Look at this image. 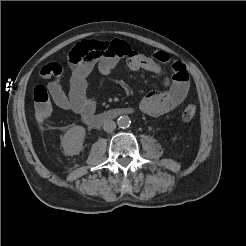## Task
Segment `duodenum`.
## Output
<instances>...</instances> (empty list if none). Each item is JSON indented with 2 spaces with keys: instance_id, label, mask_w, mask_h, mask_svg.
I'll list each match as a JSON object with an SVG mask.
<instances>
[{
  "instance_id": "duodenum-1",
  "label": "duodenum",
  "mask_w": 246,
  "mask_h": 246,
  "mask_svg": "<svg viewBox=\"0 0 246 246\" xmlns=\"http://www.w3.org/2000/svg\"><path fill=\"white\" fill-rule=\"evenodd\" d=\"M132 113L133 110L131 108H111L104 112L87 116L84 121L93 128H99L107 121Z\"/></svg>"
}]
</instances>
